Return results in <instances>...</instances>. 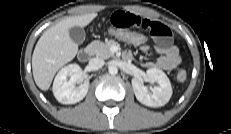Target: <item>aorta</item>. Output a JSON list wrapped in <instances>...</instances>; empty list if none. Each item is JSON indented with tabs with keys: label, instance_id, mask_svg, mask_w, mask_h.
Returning a JSON list of instances; mask_svg holds the SVG:
<instances>
[{
	"label": "aorta",
	"instance_id": "aorta-1",
	"mask_svg": "<svg viewBox=\"0 0 231 134\" xmlns=\"http://www.w3.org/2000/svg\"><path fill=\"white\" fill-rule=\"evenodd\" d=\"M109 73L111 75H116L118 73V68L116 66L109 67Z\"/></svg>",
	"mask_w": 231,
	"mask_h": 134
}]
</instances>
